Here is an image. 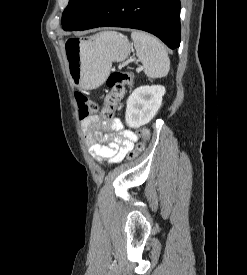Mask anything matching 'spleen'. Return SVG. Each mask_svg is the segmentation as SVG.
Here are the masks:
<instances>
[{"label":"spleen","instance_id":"1","mask_svg":"<svg viewBox=\"0 0 247 275\" xmlns=\"http://www.w3.org/2000/svg\"><path fill=\"white\" fill-rule=\"evenodd\" d=\"M97 40L104 38V34L96 36ZM136 56L142 62L144 73L151 78L165 77L170 69V60L165 46L155 37L134 30L131 33Z\"/></svg>","mask_w":247,"mask_h":275}]
</instances>
